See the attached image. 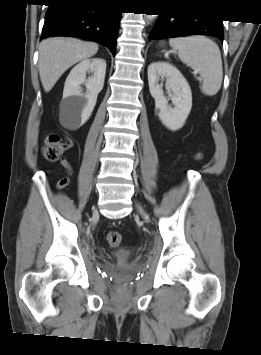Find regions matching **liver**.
<instances>
[{"mask_svg": "<svg viewBox=\"0 0 261 355\" xmlns=\"http://www.w3.org/2000/svg\"><path fill=\"white\" fill-rule=\"evenodd\" d=\"M98 51V45L74 38H48L39 46V75L45 92H49L61 75L79 61Z\"/></svg>", "mask_w": 261, "mask_h": 355, "instance_id": "1", "label": "liver"}]
</instances>
